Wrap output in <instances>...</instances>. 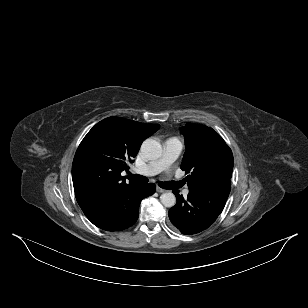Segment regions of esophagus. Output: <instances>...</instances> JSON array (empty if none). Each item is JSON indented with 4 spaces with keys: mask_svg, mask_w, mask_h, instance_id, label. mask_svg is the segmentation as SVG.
Listing matches in <instances>:
<instances>
[{
    "mask_svg": "<svg viewBox=\"0 0 308 308\" xmlns=\"http://www.w3.org/2000/svg\"><path fill=\"white\" fill-rule=\"evenodd\" d=\"M156 191H157V192H159V193L166 192V190H165V189L160 188V187H157V188H156Z\"/></svg>",
    "mask_w": 308,
    "mask_h": 308,
    "instance_id": "34e87169",
    "label": "esophagus"
}]
</instances>
